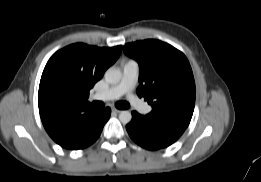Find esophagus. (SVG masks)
<instances>
[{
    "instance_id": "1",
    "label": "esophagus",
    "mask_w": 261,
    "mask_h": 182,
    "mask_svg": "<svg viewBox=\"0 0 261 182\" xmlns=\"http://www.w3.org/2000/svg\"><path fill=\"white\" fill-rule=\"evenodd\" d=\"M112 112H113V113H117V114H118V113H120V112H121V110H120V109L113 108V109H112Z\"/></svg>"
}]
</instances>
